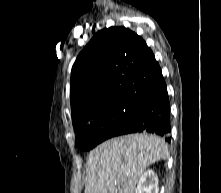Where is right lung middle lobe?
<instances>
[{"instance_id":"obj_1","label":"right lung middle lobe","mask_w":221,"mask_h":193,"mask_svg":"<svg viewBox=\"0 0 221 193\" xmlns=\"http://www.w3.org/2000/svg\"><path fill=\"white\" fill-rule=\"evenodd\" d=\"M144 99L127 98L112 102L90 117L80 121L76 127L77 146L90 150L109 139L122 127L130 124L143 110Z\"/></svg>"}]
</instances>
